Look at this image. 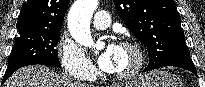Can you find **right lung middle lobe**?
<instances>
[{"instance_id":"dd1d6c3e","label":"right lung middle lobe","mask_w":205,"mask_h":87,"mask_svg":"<svg viewBox=\"0 0 205 87\" xmlns=\"http://www.w3.org/2000/svg\"><path fill=\"white\" fill-rule=\"evenodd\" d=\"M60 30H27L19 32L15 39L8 64L16 61H30L49 67H60L55 48Z\"/></svg>"}]
</instances>
